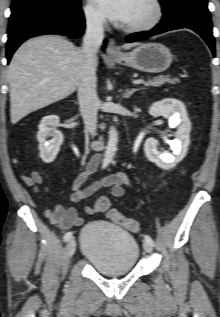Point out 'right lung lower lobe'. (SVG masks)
Segmentation results:
<instances>
[{
    "label": "right lung lower lobe",
    "instance_id": "right-lung-lower-lobe-1",
    "mask_svg": "<svg viewBox=\"0 0 220 317\" xmlns=\"http://www.w3.org/2000/svg\"><path fill=\"white\" fill-rule=\"evenodd\" d=\"M85 28L81 9L67 12L49 8L28 9L11 14L8 26L7 60L27 39L43 34H59L78 37ZM106 42V41H105Z\"/></svg>",
    "mask_w": 220,
    "mask_h": 317
}]
</instances>
